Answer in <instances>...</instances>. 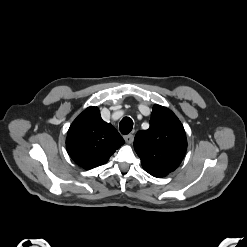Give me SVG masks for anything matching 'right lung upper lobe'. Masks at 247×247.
I'll return each instance as SVG.
<instances>
[{
	"instance_id": "right-lung-upper-lobe-1",
	"label": "right lung upper lobe",
	"mask_w": 247,
	"mask_h": 247,
	"mask_svg": "<svg viewBox=\"0 0 247 247\" xmlns=\"http://www.w3.org/2000/svg\"><path fill=\"white\" fill-rule=\"evenodd\" d=\"M123 144L121 135L102 120L99 109L93 106L73 121L66 139L69 156L85 169L103 165Z\"/></svg>"
}]
</instances>
